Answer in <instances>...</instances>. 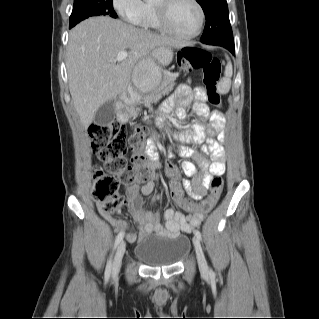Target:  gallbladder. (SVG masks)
<instances>
[{"label":"gallbladder","mask_w":319,"mask_h":319,"mask_svg":"<svg viewBox=\"0 0 319 319\" xmlns=\"http://www.w3.org/2000/svg\"><path fill=\"white\" fill-rule=\"evenodd\" d=\"M115 101L111 100L99 107L95 113L94 122L97 125H107L115 119Z\"/></svg>","instance_id":"gallbladder-1"}]
</instances>
